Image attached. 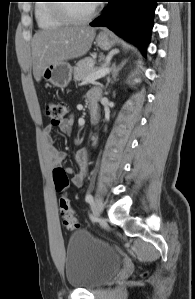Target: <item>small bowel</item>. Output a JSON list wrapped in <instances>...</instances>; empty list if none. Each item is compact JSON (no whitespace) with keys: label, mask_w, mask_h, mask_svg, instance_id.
<instances>
[{"label":"small bowel","mask_w":195,"mask_h":299,"mask_svg":"<svg viewBox=\"0 0 195 299\" xmlns=\"http://www.w3.org/2000/svg\"><path fill=\"white\" fill-rule=\"evenodd\" d=\"M97 93L92 91L89 93L90 100H95ZM73 126V120L71 118L64 119L58 125L59 129L64 133H70ZM54 125L49 124L43 130V140L47 146V151L50 157V161L53 166H59L66 157V153L57 149L53 143V131ZM77 171L74 172L72 167H65V171L69 174H73L71 182L74 186L80 187L83 184L84 177L88 167V153L86 149H79L73 155Z\"/></svg>","instance_id":"small-bowel-1"}]
</instances>
